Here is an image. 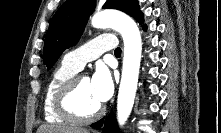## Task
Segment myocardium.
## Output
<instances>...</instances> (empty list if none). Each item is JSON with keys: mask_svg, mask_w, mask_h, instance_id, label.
Wrapping results in <instances>:
<instances>
[{"mask_svg": "<svg viewBox=\"0 0 221 133\" xmlns=\"http://www.w3.org/2000/svg\"><path fill=\"white\" fill-rule=\"evenodd\" d=\"M85 77L83 75H75L64 82L57 90L54 98V106L57 113L67 121L76 124H87L98 119L104 111L103 105L91 115L82 116L74 107V96L78 88L79 82Z\"/></svg>", "mask_w": 221, "mask_h": 133, "instance_id": "myocardium-1", "label": "myocardium"}]
</instances>
